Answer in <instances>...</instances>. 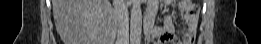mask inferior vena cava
Instances as JSON below:
<instances>
[{"label": "inferior vena cava", "instance_id": "1", "mask_svg": "<svg viewBox=\"0 0 261 44\" xmlns=\"http://www.w3.org/2000/svg\"><path fill=\"white\" fill-rule=\"evenodd\" d=\"M120 2L121 4L115 7L114 20L116 22L118 37L124 40H128L129 28H128L127 9L124 5V0H120Z\"/></svg>", "mask_w": 261, "mask_h": 44}]
</instances>
